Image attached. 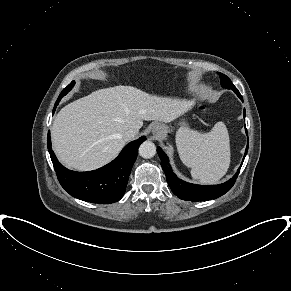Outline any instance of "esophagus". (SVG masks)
Returning a JSON list of instances; mask_svg holds the SVG:
<instances>
[{
    "label": "esophagus",
    "mask_w": 291,
    "mask_h": 291,
    "mask_svg": "<svg viewBox=\"0 0 291 291\" xmlns=\"http://www.w3.org/2000/svg\"><path fill=\"white\" fill-rule=\"evenodd\" d=\"M151 132H152V138L157 140L164 134V127L159 123L154 124L151 129Z\"/></svg>",
    "instance_id": "34e87169"
}]
</instances>
